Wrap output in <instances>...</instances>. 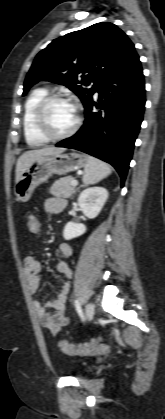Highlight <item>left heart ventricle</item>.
Listing matches in <instances>:
<instances>
[{"instance_id":"1","label":"left heart ventricle","mask_w":165,"mask_h":419,"mask_svg":"<svg viewBox=\"0 0 165 419\" xmlns=\"http://www.w3.org/2000/svg\"><path fill=\"white\" fill-rule=\"evenodd\" d=\"M76 119V110L69 102H54L47 110V121L50 130L61 134L71 128Z\"/></svg>"}]
</instances>
